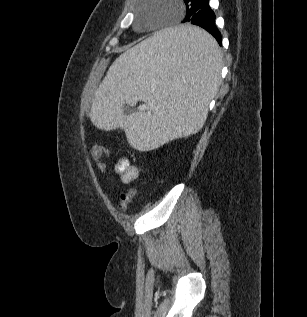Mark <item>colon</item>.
Here are the masks:
<instances>
[{"mask_svg":"<svg viewBox=\"0 0 307 317\" xmlns=\"http://www.w3.org/2000/svg\"><path fill=\"white\" fill-rule=\"evenodd\" d=\"M107 154H108V150L105 147L94 146L92 149V157L101 172H103L105 169L104 159L107 156ZM136 194H137V189L135 188L122 193L120 196V201L118 203V209L120 211H125Z\"/></svg>","mask_w":307,"mask_h":317,"instance_id":"1","label":"colon"}]
</instances>
